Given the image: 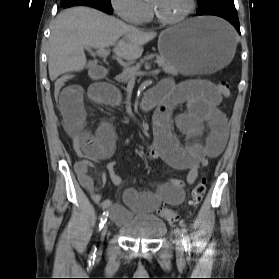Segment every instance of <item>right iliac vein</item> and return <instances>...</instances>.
Instances as JSON below:
<instances>
[{"instance_id":"63e3f726","label":"right iliac vein","mask_w":279,"mask_h":279,"mask_svg":"<svg viewBox=\"0 0 279 279\" xmlns=\"http://www.w3.org/2000/svg\"><path fill=\"white\" fill-rule=\"evenodd\" d=\"M107 231H108V226H107V224H105L101 230V240H103L105 238Z\"/></svg>"}]
</instances>
